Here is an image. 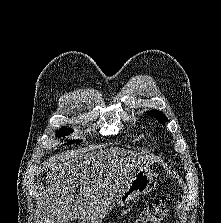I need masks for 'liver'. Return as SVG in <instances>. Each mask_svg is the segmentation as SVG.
Returning a JSON list of instances; mask_svg holds the SVG:
<instances>
[{"instance_id": "liver-1", "label": "liver", "mask_w": 221, "mask_h": 223, "mask_svg": "<svg viewBox=\"0 0 221 223\" xmlns=\"http://www.w3.org/2000/svg\"><path fill=\"white\" fill-rule=\"evenodd\" d=\"M152 160L146 152L121 148L77 149L50 158L40 223H102L134 174Z\"/></svg>"}]
</instances>
